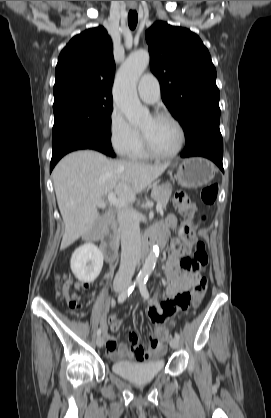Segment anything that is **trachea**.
I'll list each match as a JSON object with an SVG mask.
<instances>
[{
    "label": "trachea",
    "instance_id": "obj_1",
    "mask_svg": "<svg viewBox=\"0 0 271 418\" xmlns=\"http://www.w3.org/2000/svg\"><path fill=\"white\" fill-rule=\"evenodd\" d=\"M138 22V14L135 10H130L128 14V25L131 30L136 28Z\"/></svg>",
    "mask_w": 271,
    "mask_h": 418
}]
</instances>
